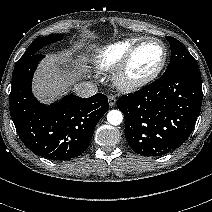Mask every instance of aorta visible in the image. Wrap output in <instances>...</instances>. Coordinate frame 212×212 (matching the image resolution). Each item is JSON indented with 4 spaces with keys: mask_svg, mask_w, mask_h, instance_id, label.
<instances>
[{
    "mask_svg": "<svg viewBox=\"0 0 212 212\" xmlns=\"http://www.w3.org/2000/svg\"><path fill=\"white\" fill-rule=\"evenodd\" d=\"M107 121L109 124L117 126L123 121V114L120 110H110L107 114Z\"/></svg>",
    "mask_w": 212,
    "mask_h": 212,
    "instance_id": "762f6f07",
    "label": "aorta"
}]
</instances>
